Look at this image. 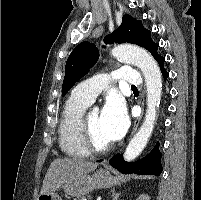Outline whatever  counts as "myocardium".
<instances>
[{
  "label": "myocardium",
  "mask_w": 201,
  "mask_h": 200,
  "mask_svg": "<svg viewBox=\"0 0 201 200\" xmlns=\"http://www.w3.org/2000/svg\"><path fill=\"white\" fill-rule=\"evenodd\" d=\"M88 115L89 113H84L79 122V138L82 147L89 153L102 154L111 150L112 144H107L103 146L96 145L92 140L90 129L88 125Z\"/></svg>",
  "instance_id": "obj_1"
}]
</instances>
